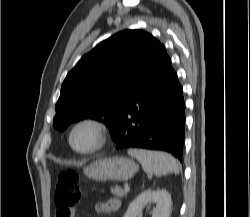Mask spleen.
I'll list each match as a JSON object with an SVG mask.
<instances>
[{"instance_id": "3e777b00", "label": "spleen", "mask_w": 250, "mask_h": 217, "mask_svg": "<svg viewBox=\"0 0 250 217\" xmlns=\"http://www.w3.org/2000/svg\"><path fill=\"white\" fill-rule=\"evenodd\" d=\"M128 154L136 158L140 162L143 170L147 173H153L156 176L179 173L177 160L165 152L129 149Z\"/></svg>"}]
</instances>
